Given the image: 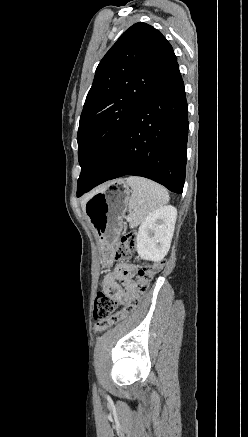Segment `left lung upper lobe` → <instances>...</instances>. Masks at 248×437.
I'll use <instances>...</instances> for the list:
<instances>
[{
	"label": "left lung upper lobe",
	"mask_w": 248,
	"mask_h": 437,
	"mask_svg": "<svg viewBox=\"0 0 248 437\" xmlns=\"http://www.w3.org/2000/svg\"><path fill=\"white\" fill-rule=\"evenodd\" d=\"M176 62L166 38L143 22L128 28L100 61L79 122L77 196L101 173L131 116Z\"/></svg>",
	"instance_id": "1"
}]
</instances>
